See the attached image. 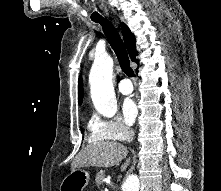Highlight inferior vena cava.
<instances>
[{"label": "inferior vena cava", "mask_w": 221, "mask_h": 191, "mask_svg": "<svg viewBox=\"0 0 221 191\" xmlns=\"http://www.w3.org/2000/svg\"><path fill=\"white\" fill-rule=\"evenodd\" d=\"M126 136H127V142H129V143L132 142V141H133V138H134V136H135L134 130H133V129L127 130Z\"/></svg>", "instance_id": "obj_1"}]
</instances>
